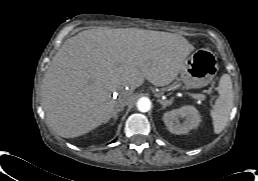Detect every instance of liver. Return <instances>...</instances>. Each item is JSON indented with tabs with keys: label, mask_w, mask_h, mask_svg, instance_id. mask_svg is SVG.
<instances>
[{
	"label": "liver",
	"mask_w": 258,
	"mask_h": 181,
	"mask_svg": "<svg viewBox=\"0 0 258 181\" xmlns=\"http://www.w3.org/2000/svg\"><path fill=\"white\" fill-rule=\"evenodd\" d=\"M183 36L137 28L85 30L56 52L41 86L53 131L74 138L107 123L117 99L148 80L170 84L194 50ZM128 88V89H126Z\"/></svg>",
	"instance_id": "liver-1"
}]
</instances>
